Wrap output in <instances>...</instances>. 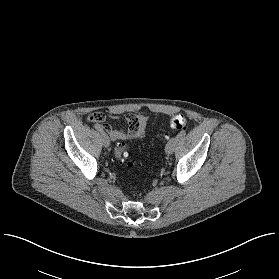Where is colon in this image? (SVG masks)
<instances>
[{"label": "colon", "mask_w": 279, "mask_h": 279, "mask_svg": "<svg viewBox=\"0 0 279 279\" xmlns=\"http://www.w3.org/2000/svg\"><path fill=\"white\" fill-rule=\"evenodd\" d=\"M100 119L103 118L100 116ZM170 128L173 130L183 129L187 125V119L183 114H177L172 117L169 121ZM114 158L117 162H121L125 157L128 156V145L121 143L114 148Z\"/></svg>", "instance_id": "obj_1"}]
</instances>
